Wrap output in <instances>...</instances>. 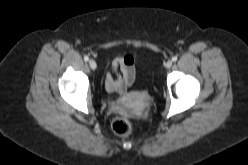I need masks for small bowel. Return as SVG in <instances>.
Listing matches in <instances>:
<instances>
[{
	"mask_svg": "<svg viewBox=\"0 0 248 165\" xmlns=\"http://www.w3.org/2000/svg\"><path fill=\"white\" fill-rule=\"evenodd\" d=\"M113 74H107L105 87L110 93H123L135 81V60L132 55L116 57L112 62Z\"/></svg>",
	"mask_w": 248,
	"mask_h": 165,
	"instance_id": "c3829d8e",
	"label": "small bowel"
}]
</instances>
